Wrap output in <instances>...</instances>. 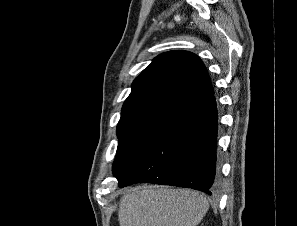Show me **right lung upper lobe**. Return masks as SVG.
Here are the masks:
<instances>
[{"label": "right lung upper lobe", "instance_id": "right-lung-upper-lobe-1", "mask_svg": "<svg viewBox=\"0 0 297 226\" xmlns=\"http://www.w3.org/2000/svg\"><path fill=\"white\" fill-rule=\"evenodd\" d=\"M207 69L188 51L162 53L134 80L119 122L144 117H172L183 108L213 96Z\"/></svg>", "mask_w": 297, "mask_h": 226}]
</instances>
